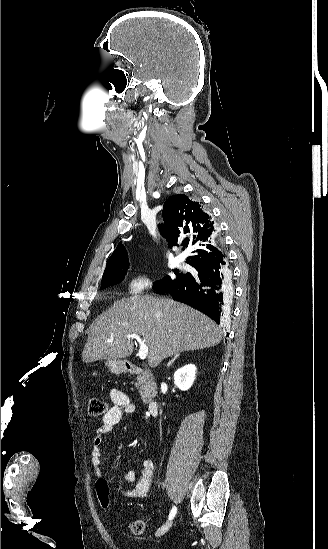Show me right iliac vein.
<instances>
[{"label": "right iliac vein", "instance_id": "1", "mask_svg": "<svg viewBox=\"0 0 328 549\" xmlns=\"http://www.w3.org/2000/svg\"><path fill=\"white\" fill-rule=\"evenodd\" d=\"M172 523L173 521H169L165 524H163L157 531H156V537H160L162 535H164L169 529L170 527L172 526Z\"/></svg>", "mask_w": 328, "mask_h": 549}]
</instances>
